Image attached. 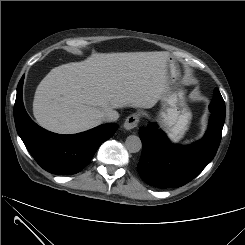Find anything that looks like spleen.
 Here are the masks:
<instances>
[{"label":"spleen","instance_id":"obj_1","mask_svg":"<svg viewBox=\"0 0 245 245\" xmlns=\"http://www.w3.org/2000/svg\"><path fill=\"white\" fill-rule=\"evenodd\" d=\"M192 142V140H187V141H185L184 143L185 144H189V143H191Z\"/></svg>","mask_w":245,"mask_h":245}]
</instances>
